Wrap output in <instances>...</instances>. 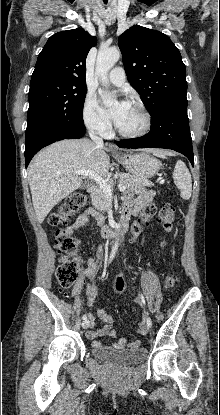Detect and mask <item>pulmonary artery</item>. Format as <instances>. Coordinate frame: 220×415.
Listing matches in <instances>:
<instances>
[{
	"mask_svg": "<svg viewBox=\"0 0 220 415\" xmlns=\"http://www.w3.org/2000/svg\"><path fill=\"white\" fill-rule=\"evenodd\" d=\"M108 79L112 84L116 86L123 85L125 82L124 70L121 67L112 69L108 75Z\"/></svg>",
	"mask_w": 220,
	"mask_h": 415,
	"instance_id": "pulmonary-artery-1",
	"label": "pulmonary artery"
}]
</instances>
